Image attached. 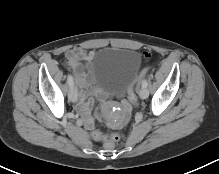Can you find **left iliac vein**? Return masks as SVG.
Here are the masks:
<instances>
[{"mask_svg":"<svg viewBox=\"0 0 219 174\" xmlns=\"http://www.w3.org/2000/svg\"><path fill=\"white\" fill-rule=\"evenodd\" d=\"M139 96L140 98L142 99H145L148 97V91L146 88L142 87L140 90H139Z\"/></svg>","mask_w":219,"mask_h":174,"instance_id":"obj_1","label":"left iliac vein"}]
</instances>
